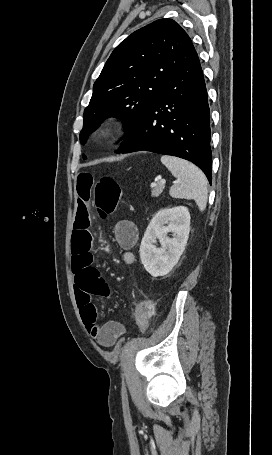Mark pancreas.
Returning a JSON list of instances; mask_svg holds the SVG:
<instances>
[{"instance_id":"pancreas-1","label":"pancreas","mask_w":272,"mask_h":455,"mask_svg":"<svg viewBox=\"0 0 272 455\" xmlns=\"http://www.w3.org/2000/svg\"><path fill=\"white\" fill-rule=\"evenodd\" d=\"M164 186L158 183L151 191L152 197H158L163 192Z\"/></svg>"}]
</instances>
